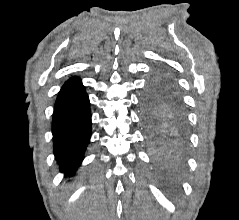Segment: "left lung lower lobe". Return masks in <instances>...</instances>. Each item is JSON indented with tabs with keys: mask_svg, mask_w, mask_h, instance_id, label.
<instances>
[{
	"mask_svg": "<svg viewBox=\"0 0 239 220\" xmlns=\"http://www.w3.org/2000/svg\"><path fill=\"white\" fill-rule=\"evenodd\" d=\"M151 131L150 143L158 157L164 162L178 161L186 136L184 113L173 112L160 128Z\"/></svg>",
	"mask_w": 239,
	"mask_h": 220,
	"instance_id": "left-lung-lower-lobe-1",
	"label": "left lung lower lobe"
}]
</instances>
